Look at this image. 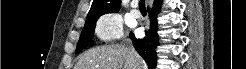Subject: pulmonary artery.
Instances as JSON below:
<instances>
[{"label":"pulmonary artery","instance_id":"obj_1","mask_svg":"<svg viewBox=\"0 0 246 69\" xmlns=\"http://www.w3.org/2000/svg\"><path fill=\"white\" fill-rule=\"evenodd\" d=\"M135 6H136V4H133V7H135ZM131 16L137 18V17L140 16V12L138 10H136V9H133L131 11Z\"/></svg>","mask_w":246,"mask_h":69}]
</instances>
